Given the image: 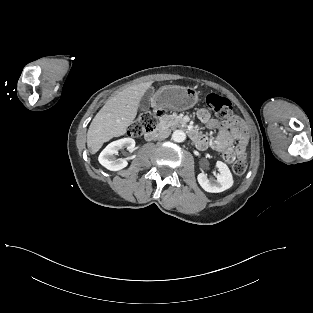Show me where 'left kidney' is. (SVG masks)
Masks as SVG:
<instances>
[{
  "label": "left kidney",
  "mask_w": 313,
  "mask_h": 313,
  "mask_svg": "<svg viewBox=\"0 0 313 313\" xmlns=\"http://www.w3.org/2000/svg\"><path fill=\"white\" fill-rule=\"evenodd\" d=\"M216 166L220 172V174L216 176V180L209 179L207 174L205 173H200L197 176L198 183L206 192H223L232 187L234 183L233 176L228 166L224 162L217 161Z\"/></svg>",
  "instance_id": "1"
}]
</instances>
